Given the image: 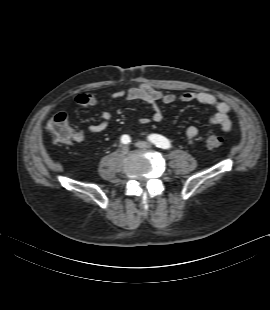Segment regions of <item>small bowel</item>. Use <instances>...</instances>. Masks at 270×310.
<instances>
[{
    "label": "small bowel",
    "instance_id": "obj_1",
    "mask_svg": "<svg viewBox=\"0 0 270 310\" xmlns=\"http://www.w3.org/2000/svg\"><path fill=\"white\" fill-rule=\"evenodd\" d=\"M139 100L144 101L151 105L152 114L151 117L140 118V123L148 124L151 121L160 123L163 120V114L159 107V102L170 105L176 101L180 102H198L200 104L210 106L216 109V113L208 118V123L211 125H218L224 132H229L232 128V122L229 116L231 112V105L223 100L218 99L216 96L207 92H185L180 96L173 93H165L158 89H155L149 85L143 84L139 87L131 88L129 90H119L113 93L111 100ZM74 102L84 108H92L104 103V100L98 98L87 92L77 93L74 98ZM112 120V114L109 111H102L100 119L97 123L88 126L87 130L89 133L97 134L103 132ZM79 132V138L77 142H81L84 139V133ZM198 128L196 126H188L185 129V136L189 144H193L195 138L198 135Z\"/></svg>",
    "mask_w": 270,
    "mask_h": 310
}]
</instances>
